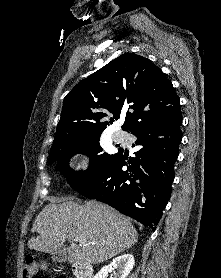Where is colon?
Here are the masks:
<instances>
[{"label":"colon","instance_id":"obj_1","mask_svg":"<svg viewBox=\"0 0 221 278\" xmlns=\"http://www.w3.org/2000/svg\"><path fill=\"white\" fill-rule=\"evenodd\" d=\"M44 267L41 263L31 256H27L23 260V278H43L41 272ZM54 278H66L63 275L55 276Z\"/></svg>","mask_w":221,"mask_h":278}]
</instances>
